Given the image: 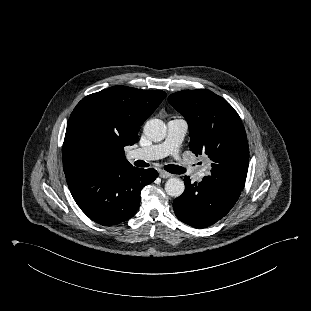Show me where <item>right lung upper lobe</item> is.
Here are the masks:
<instances>
[{"instance_id":"cb5924a9","label":"right lung upper lobe","mask_w":311,"mask_h":311,"mask_svg":"<svg viewBox=\"0 0 311 311\" xmlns=\"http://www.w3.org/2000/svg\"><path fill=\"white\" fill-rule=\"evenodd\" d=\"M166 93L114 86L83 98L70 115L63 143L64 173L77 170L71 166L70 153L75 130L86 125L100 143L101 163L133 167L124 147L138 141L143 122L154 112Z\"/></svg>"}]
</instances>
